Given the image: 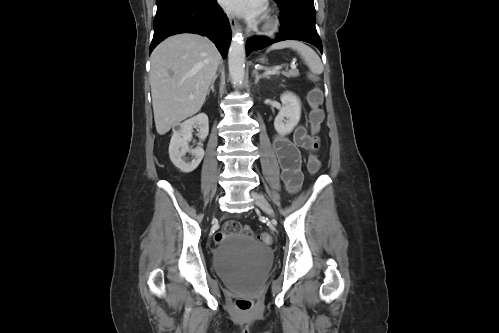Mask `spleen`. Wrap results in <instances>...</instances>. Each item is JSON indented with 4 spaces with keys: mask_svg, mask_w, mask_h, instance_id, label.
Masks as SVG:
<instances>
[{
    "mask_svg": "<svg viewBox=\"0 0 499 333\" xmlns=\"http://www.w3.org/2000/svg\"><path fill=\"white\" fill-rule=\"evenodd\" d=\"M291 48L299 53L305 64L309 69L315 74H321L324 70V66L316 54V52L304 43L296 40H286L282 42L275 43L269 47L267 50L284 49Z\"/></svg>",
    "mask_w": 499,
    "mask_h": 333,
    "instance_id": "3e777b00",
    "label": "spleen"
}]
</instances>
